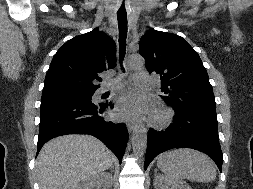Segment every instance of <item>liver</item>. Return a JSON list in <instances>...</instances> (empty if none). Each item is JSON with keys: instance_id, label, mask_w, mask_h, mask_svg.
Masks as SVG:
<instances>
[{"instance_id": "6515ba94", "label": "liver", "mask_w": 253, "mask_h": 189, "mask_svg": "<svg viewBox=\"0 0 253 189\" xmlns=\"http://www.w3.org/2000/svg\"><path fill=\"white\" fill-rule=\"evenodd\" d=\"M113 153L89 135H65L41 149L36 172L40 189H74L84 180L110 168Z\"/></svg>"}]
</instances>
